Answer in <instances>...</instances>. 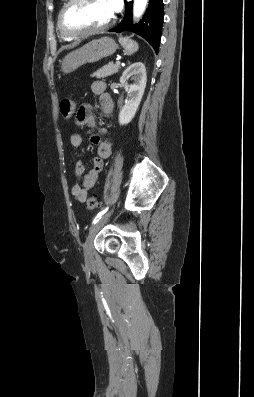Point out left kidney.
<instances>
[{
    "label": "left kidney",
    "mask_w": 254,
    "mask_h": 397,
    "mask_svg": "<svg viewBox=\"0 0 254 397\" xmlns=\"http://www.w3.org/2000/svg\"><path fill=\"white\" fill-rule=\"evenodd\" d=\"M130 77L134 80V83L129 85L127 81ZM146 81V68L142 62L130 65L120 77V83L128 94L125 105L119 113L120 125H126L134 118L144 94Z\"/></svg>",
    "instance_id": "obj_1"
}]
</instances>
